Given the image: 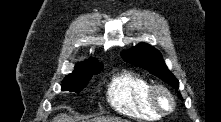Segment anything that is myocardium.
Masks as SVG:
<instances>
[{
    "label": "myocardium",
    "mask_w": 221,
    "mask_h": 122,
    "mask_svg": "<svg viewBox=\"0 0 221 122\" xmlns=\"http://www.w3.org/2000/svg\"><path fill=\"white\" fill-rule=\"evenodd\" d=\"M164 95L170 101V107L166 108L161 104L160 97ZM149 101L154 110L160 115H168L172 113L176 108V99L171 90L161 83H156L150 86L149 89Z\"/></svg>",
    "instance_id": "obj_1"
}]
</instances>
